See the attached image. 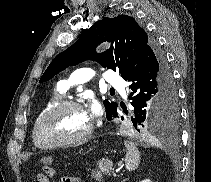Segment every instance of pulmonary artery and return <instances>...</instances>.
<instances>
[{"instance_id": "obj_1", "label": "pulmonary artery", "mask_w": 211, "mask_h": 182, "mask_svg": "<svg viewBox=\"0 0 211 182\" xmlns=\"http://www.w3.org/2000/svg\"><path fill=\"white\" fill-rule=\"evenodd\" d=\"M94 75L95 72L91 68L86 67L78 69L73 73L72 78L70 80H64L58 84V90L61 93H65L74 82L84 83ZM104 78L109 84L114 86H120L121 91L124 93L122 79L118 74L112 71H106L104 73Z\"/></svg>"}]
</instances>
